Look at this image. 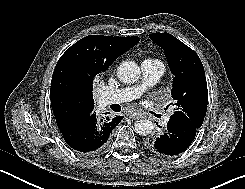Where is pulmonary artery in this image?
Returning <instances> with one entry per match:
<instances>
[{
    "instance_id": "e3ab8cb5",
    "label": "pulmonary artery",
    "mask_w": 245,
    "mask_h": 189,
    "mask_svg": "<svg viewBox=\"0 0 245 189\" xmlns=\"http://www.w3.org/2000/svg\"><path fill=\"white\" fill-rule=\"evenodd\" d=\"M143 79L134 86L125 87L114 91L102 92L101 102L103 106L112 103H124L139 98L149 87L156 84L164 73V65L160 61L145 59L141 63ZM168 120V117L165 121Z\"/></svg>"
}]
</instances>
